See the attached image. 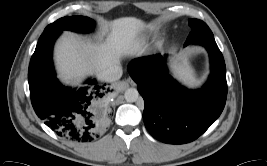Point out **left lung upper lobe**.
Listing matches in <instances>:
<instances>
[{
	"label": "left lung upper lobe",
	"mask_w": 267,
	"mask_h": 166,
	"mask_svg": "<svg viewBox=\"0 0 267 166\" xmlns=\"http://www.w3.org/2000/svg\"><path fill=\"white\" fill-rule=\"evenodd\" d=\"M189 26L192 28V31L185 42V46L200 36L212 34L210 28L201 20L189 19Z\"/></svg>",
	"instance_id": "obj_1"
}]
</instances>
